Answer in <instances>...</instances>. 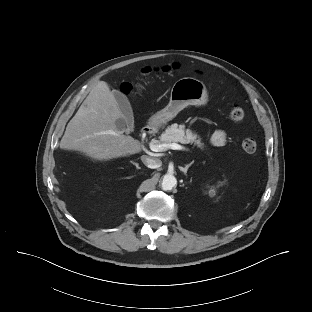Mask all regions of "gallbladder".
Here are the masks:
<instances>
[{"instance_id":"obj_1","label":"gallbladder","mask_w":312,"mask_h":312,"mask_svg":"<svg viewBox=\"0 0 312 312\" xmlns=\"http://www.w3.org/2000/svg\"><path fill=\"white\" fill-rule=\"evenodd\" d=\"M114 95L116 101L118 103V107L122 114L124 115V119L117 120L116 124L119 128H124L125 123L127 124L126 132L130 133L134 130V119H133V111L127 97L120 91H114Z\"/></svg>"}]
</instances>
